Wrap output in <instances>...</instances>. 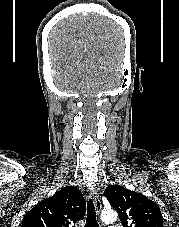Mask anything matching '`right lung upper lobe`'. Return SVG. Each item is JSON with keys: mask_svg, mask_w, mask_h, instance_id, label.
<instances>
[{"mask_svg": "<svg viewBox=\"0 0 179 227\" xmlns=\"http://www.w3.org/2000/svg\"><path fill=\"white\" fill-rule=\"evenodd\" d=\"M85 211L81 192L76 187L67 186L28 211L21 227H74Z\"/></svg>", "mask_w": 179, "mask_h": 227, "instance_id": "right-lung-upper-lobe-1", "label": "right lung upper lobe"}]
</instances>
